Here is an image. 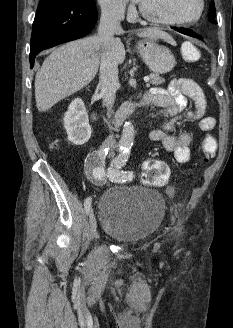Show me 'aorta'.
Returning <instances> with one entry per match:
<instances>
[{"mask_svg": "<svg viewBox=\"0 0 233 328\" xmlns=\"http://www.w3.org/2000/svg\"><path fill=\"white\" fill-rule=\"evenodd\" d=\"M135 136V128L131 121H126L123 125L122 135L120 139V145L124 149H129L133 145Z\"/></svg>", "mask_w": 233, "mask_h": 328, "instance_id": "762f6f07", "label": "aorta"}]
</instances>
